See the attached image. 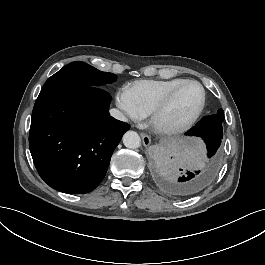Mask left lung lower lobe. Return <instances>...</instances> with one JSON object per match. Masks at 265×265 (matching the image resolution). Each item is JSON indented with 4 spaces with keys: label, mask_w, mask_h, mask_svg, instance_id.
<instances>
[{
    "label": "left lung lower lobe",
    "mask_w": 265,
    "mask_h": 265,
    "mask_svg": "<svg viewBox=\"0 0 265 265\" xmlns=\"http://www.w3.org/2000/svg\"><path fill=\"white\" fill-rule=\"evenodd\" d=\"M223 121L224 113L219 109L217 114L205 116L185 133L202 138L206 145L197 162L201 170L187 171L177 178L176 167L181 162L179 155L163 152L158 156L154 164V179L162 190L184 198L199 193L211 183L221 162Z\"/></svg>",
    "instance_id": "obj_1"
}]
</instances>
